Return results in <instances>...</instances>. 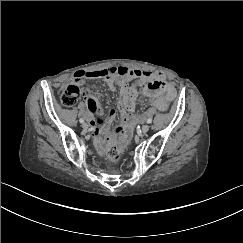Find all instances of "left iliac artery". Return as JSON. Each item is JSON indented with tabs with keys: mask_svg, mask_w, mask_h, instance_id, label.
<instances>
[{
	"mask_svg": "<svg viewBox=\"0 0 243 243\" xmlns=\"http://www.w3.org/2000/svg\"><path fill=\"white\" fill-rule=\"evenodd\" d=\"M147 123H149V124L152 123V119L151 118H148L147 119Z\"/></svg>",
	"mask_w": 243,
	"mask_h": 243,
	"instance_id": "44dca946",
	"label": "left iliac artery"
}]
</instances>
